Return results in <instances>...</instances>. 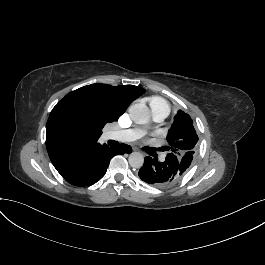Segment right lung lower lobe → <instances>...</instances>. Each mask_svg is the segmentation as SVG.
I'll return each mask as SVG.
<instances>
[{
	"mask_svg": "<svg viewBox=\"0 0 265 265\" xmlns=\"http://www.w3.org/2000/svg\"><path fill=\"white\" fill-rule=\"evenodd\" d=\"M131 151L132 148L127 144H121L118 148L99 145L79 155L59 173L72 185L90 186L105 175L112 157L117 154H129Z\"/></svg>",
	"mask_w": 265,
	"mask_h": 265,
	"instance_id": "98d812e1",
	"label": "right lung lower lobe"
}]
</instances>
